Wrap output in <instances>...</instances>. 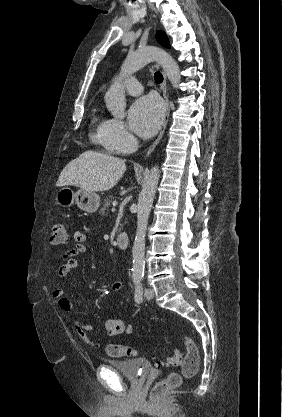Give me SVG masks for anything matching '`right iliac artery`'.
Masks as SVG:
<instances>
[{"label":"right iliac artery","mask_w":282,"mask_h":417,"mask_svg":"<svg viewBox=\"0 0 282 417\" xmlns=\"http://www.w3.org/2000/svg\"><path fill=\"white\" fill-rule=\"evenodd\" d=\"M134 282H135V284H137L139 282V280H135Z\"/></svg>","instance_id":"82829eb1"}]
</instances>
